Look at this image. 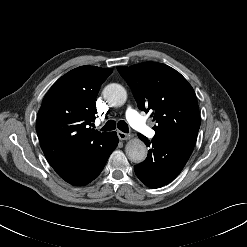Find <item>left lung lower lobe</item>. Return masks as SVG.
I'll use <instances>...</instances> for the list:
<instances>
[{
	"mask_svg": "<svg viewBox=\"0 0 247 247\" xmlns=\"http://www.w3.org/2000/svg\"><path fill=\"white\" fill-rule=\"evenodd\" d=\"M150 147L146 160L136 166L137 177L148 187L159 188L174 180L188 161L194 145L183 140L151 141L139 135Z\"/></svg>",
	"mask_w": 247,
	"mask_h": 247,
	"instance_id": "1",
	"label": "left lung lower lobe"
}]
</instances>
